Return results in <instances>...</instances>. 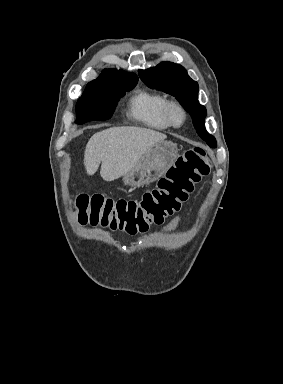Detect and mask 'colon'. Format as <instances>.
<instances>
[{
	"mask_svg": "<svg viewBox=\"0 0 283 384\" xmlns=\"http://www.w3.org/2000/svg\"><path fill=\"white\" fill-rule=\"evenodd\" d=\"M212 165L204 149L186 150L161 178L157 186L140 199H112L100 194H80L75 199L80 223L101 225L129 234L145 232L152 224L180 209L196 183L209 174Z\"/></svg>",
	"mask_w": 283,
	"mask_h": 384,
	"instance_id": "obj_1",
	"label": "colon"
}]
</instances>
